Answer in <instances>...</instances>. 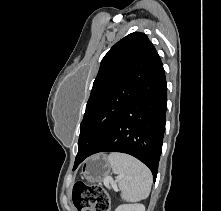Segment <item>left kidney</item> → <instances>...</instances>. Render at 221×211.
<instances>
[{"mask_svg":"<svg viewBox=\"0 0 221 211\" xmlns=\"http://www.w3.org/2000/svg\"><path fill=\"white\" fill-rule=\"evenodd\" d=\"M115 211H145V206L142 204H123L118 206Z\"/></svg>","mask_w":221,"mask_h":211,"instance_id":"5707ae66","label":"left kidney"}]
</instances>
